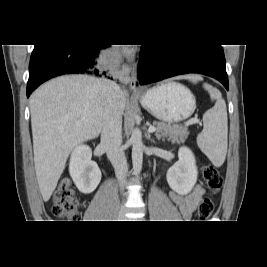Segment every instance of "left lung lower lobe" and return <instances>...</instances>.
<instances>
[{"label":"left lung lower lobe","mask_w":267,"mask_h":267,"mask_svg":"<svg viewBox=\"0 0 267 267\" xmlns=\"http://www.w3.org/2000/svg\"><path fill=\"white\" fill-rule=\"evenodd\" d=\"M187 73L211 76L228 90L225 57L221 45H142L138 63V84L146 85Z\"/></svg>","instance_id":"0a47b994"}]
</instances>
